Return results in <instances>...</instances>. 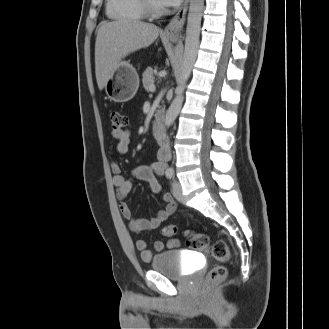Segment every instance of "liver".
<instances>
[{"label": "liver", "instance_id": "obj_1", "mask_svg": "<svg viewBox=\"0 0 329 329\" xmlns=\"http://www.w3.org/2000/svg\"><path fill=\"white\" fill-rule=\"evenodd\" d=\"M159 27L137 20L103 22L95 42V74L102 90L122 58L148 47L158 37Z\"/></svg>", "mask_w": 329, "mask_h": 329}]
</instances>
